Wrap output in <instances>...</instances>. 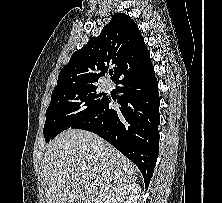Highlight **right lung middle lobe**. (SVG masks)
I'll return each instance as SVG.
<instances>
[{"mask_svg": "<svg viewBox=\"0 0 222 203\" xmlns=\"http://www.w3.org/2000/svg\"><path fill=\"white\" fill-rule=\"evenodd\" d=\"M101 96L103 98H99ZM106 100L107 97L95 85L52 92L43 129L45 141L49 142L62 131L86 118Z\"/></svg>", "mask_w": 222, "mask_h": 203, "instance_id": "obj_1", "label": "right lung middle lobe"}]
</instances>
